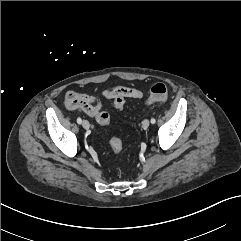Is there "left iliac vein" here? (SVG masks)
Returning a JSON list of instances; mask_svg holds the SVG:
<instances>
[{
  "label": "left iliac vein",
  "mask_w": 241,
  "mask_h": 241,
  "mask_svg": "<svg viewBox=\"0 0 241 241\" xmlns=\"http://www.w3.org/2000/svg\"><path fill=\"white\" fill-rule=\"evenodd\" d=\"M149 125H150V121H149L148 119L143 120V122H142V127H143L144 129L148 128Z\"/></svg>",
  "instance_id": "left-iliac-vein-1"
}]
</instances>
